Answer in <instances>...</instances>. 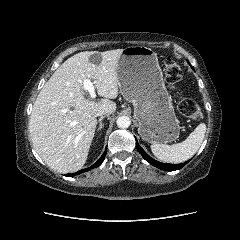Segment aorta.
I'll use <instances>...</instances> for the list:
<instances>
[{
  "mask_svg": "<svg viewBox=\"0 0 240 240\" xmlns=\"http://www.w3.org/2000/svg\"><path fill=\"white\" fill-rule=\"evenodd\" d=\"M116 124L119 128L125 129L130 126L131 120L127 116H120V117H118Z\"/></svg>",
  "mask_w": 240,
  "mask_h": 240,
  "instance_id": "obj_1",
  "label": "aorta"
}]
</instances>
